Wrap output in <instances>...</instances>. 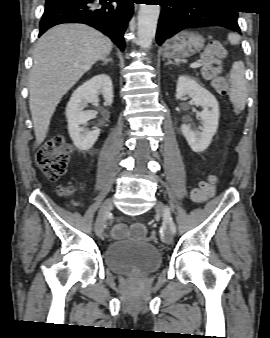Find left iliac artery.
I'll use <instances>...</instances> for the list:
<instances>
[{
	"label": "left iliac artery",
	"mask_w": 270,
	"mask_h": 338,
	"mask_svg": "<svg viewBox=\"0 0 270 338\" xmlns=\"http://www.w3.org/2000/svg\"><path fill=\"white\" fill-rule=\"evenodd\" d=\"M164 217L167 221H169V225H170V228L171 230L173 231V233L175 234L176 232V226L171 218V212H170V208H166L165 209V214H164Z\"/></svg>",
	"instance_id": "1"
}]
</instances>
